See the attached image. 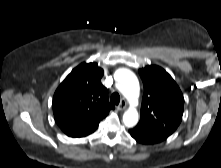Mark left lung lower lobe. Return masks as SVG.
Returning <instances> with one entry per match:
<instances>
[{
  "mask_svg": "<svg viewBox=\"0 0 221 168\" xmlns=\"http://www.w3.org/2000/svg\"><path fill=\"white\" fill-rule=\"evenodd\" d=\"M129 133L136 141L143 144H155L164 140L156 135L135 129H130Z\"/></svg>",
  "mask_w": 221,
  "mask_h": 168,
  "instance_id": "left-lung-lower-lobe-1",
  "label": "left lung lower lobe"
}]
</instances>
